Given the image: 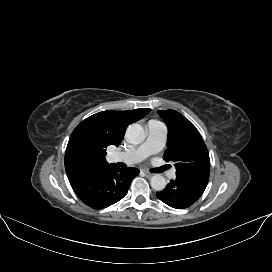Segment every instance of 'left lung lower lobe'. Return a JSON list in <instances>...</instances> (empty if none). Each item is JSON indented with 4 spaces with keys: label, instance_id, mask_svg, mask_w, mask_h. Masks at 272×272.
I'll return each instance as SVG.
<instances>
[{
    "label": "left lung lower lobe",
    "instance_id": "obj_1",
    "mask_svg": "<svg viewBox=\"0 0 272 272\" xmlns=\"http://www.w3.org/2000/svg\"><path fill=\"white\" fill-rule=\"evenodd\" d=\"M209 180V174L177 175L166 188L157 192L158 198L167 205L184 209L195 203L203 194Z\"/></svg>",
    "mask_w": 272,
    "mask_h": 272
}]
</instances>
